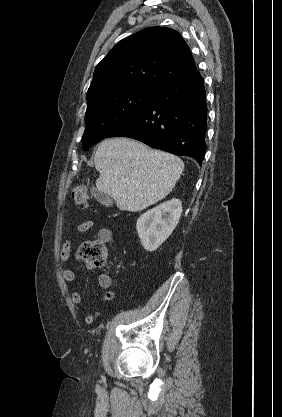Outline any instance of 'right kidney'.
Here are the masks:
<instances>
[{
	"mask_svg": "<svg viewBox=\"0 0 282 417\" xmlns=\"http://www.w3.org/2000/svg\"><path fill=\"white\" fill-rule=\"evenodd\" d=\"M182 213L179 198H170L139 217L137 233L145 251H156L177 227Z\"/></svg>",
	"mask_w": 282,
	"mask_h": 417,
	"instance_id": "right-kidney-1",
	"label": "right kidney"
}]
</instances>
